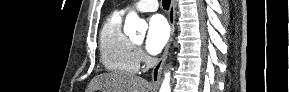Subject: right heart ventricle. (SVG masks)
Listing matches in <instances>:
<instances>
[{"mask_svg": "<svg viewBox=\"0 0 289 92\" xmlns=\"http://www.w3.org/2000/svg\"><path fill=\"white\" fill-rule=\"evenodd\" d=\"M122 13L108 16L100 31V56L104 67L111 72L134 74L139 69V59L134 43L122 31Z\"/></svg>", "mask_w": 289, "mask_h": 92, "instance_id": "obj_1", "label": "right heart ventricle"}]
</instances>
